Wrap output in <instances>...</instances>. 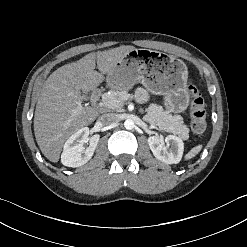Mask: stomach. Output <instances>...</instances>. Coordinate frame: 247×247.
<instances>
[{"label":"stomach","instance_id":"1","mask_svg":"<svg viewBox=\"0 0 247 247\" xmlns=\"http://www.w3.org/2000/svg\"><path fill=\"white\" fill-rule=\"evenodd\" d=\"M188 70L179 59L149 49H135L107 75L110 88L127 91L141 82L150 92L164 96L168 112L182 113L190 102Z\"/></svg>","mask_w":247,"mask_h":247}]
</instances>
